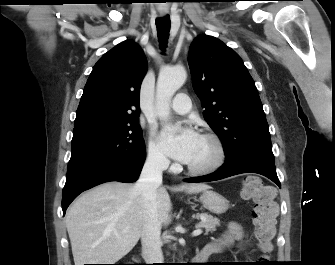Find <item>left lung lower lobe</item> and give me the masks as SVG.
Listing matches in <instances>:
<instances>
[{"mask_svg":"<svg viewBox=\"0 0 335 265\" xmlns=\"http://www.w3.org/2000/svg\"><path fill=\"white\" fill-rule=\"evenodd\" d=\"M241 173H258L266 176L280 188L281 184L277 177L275 163L255 156H244L234 160L225 161L216 172L195 178L185 179V182H209Z\"/></svg>","mask_w":335,"mask_h":265,"instance_id":"obj_1","label":"left lung lower lobe"}]
</instances>
